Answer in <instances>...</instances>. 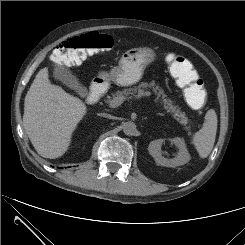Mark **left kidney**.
<instances>
[{"label":"left kidney","instance_id":"1","mask_svg":"<svg viewBox=\"0 0 245 245\" xmlns=\"http://www.w3.org/2000/svg\"><path fill=\"white\" fill-rule=\"evenodd\" d=\"M178 148L177 155L172 159H167L162 155L161 146L164 143L163 139L151 141L148 146L149 154L154 158L158 165L165 167H177L186 164L190 160V154L186 148L183 138L176 137L169 140Z\"/></svg>","mask_w":245,"mask_h":245}]
</instances>
